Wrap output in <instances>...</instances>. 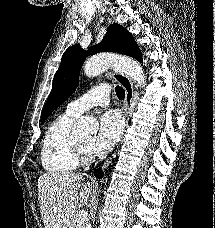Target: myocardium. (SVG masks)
Listing matches in <instances>:
<instances>
[{
    "mask_svg": "<svg viewBox=\"0 0 215 228\" xmlns=\"http://www.w3.org/2000/svg\"><path fill=\"white\" fill-rule=\"evenodd\" d=\"M76 152L81 162H88L92 159L91 146L84 145L79 139H76Z\"/></svg>",
    "mask_w": 215,
    "mask_h": 228,
    "instance_id": "myocardium-1",
    "label": "myocardium"
}]
</instances>
